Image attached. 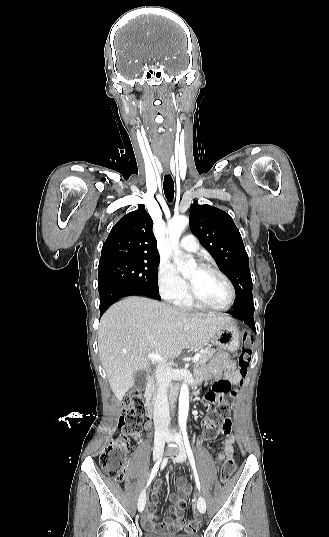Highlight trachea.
<instances>
[{"label":"trachea","mask_w":329,"mask_h":537,"mask_svg":"<svg viewBox=\"0 0 329 537\" xmlns=\"http://www.w3.org/2000/svg\"><path fill=\"white\" fill-rule=\"evenodd\" d=\"M163 189L166 199L172 202L174 199V182L170 174L164 176Z\"/></svg>","instance_id":"obj_1"}]
</instances>
